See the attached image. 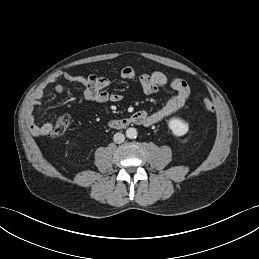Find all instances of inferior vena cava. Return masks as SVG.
<instances>
[{
    "label": "inferior vena cava",
    "mask_w": 259,
    "mask_h": 259,
    "mask_svg": "<svg viewBox=\"0 0 259 259\" xmlns=\"http://www.w3.org/2000/svg\"><path fill=\"white\" fill-rule=\"evenodd\" d=\"M113 140L115 143L120 144V143L124 142L125 136L123 133L118 132V133L114 134Z\"/></svg>",
    "instance_id": "inferior-vena-cava-1"
}]
</instances>
